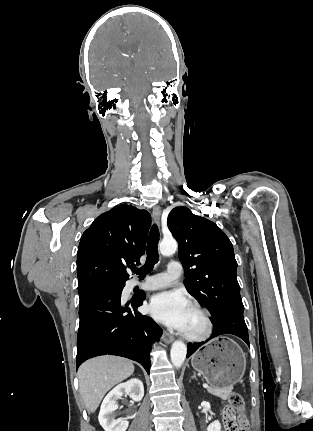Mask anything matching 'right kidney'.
Returning a JSON list of instances; mask_svg holds the SVG:
<instances>
[{"label":"right kidney","mask_w":313,"mask_h":431,"mask_svg":"<svg viewBox=\"0 0 313 431\" xmlns=\"http://www.w3.org/2000/svg\"><path fill=\"white\" fill-rule=\"evenodd\" d=\"M124 393L129 394L132 401H141L144 396L143 383L139 379L133 378L117 385L107 394L98 416L99 423L105 431H126L128 428V421L115 418V411L118 409L116 400L120 399Z\"/></svg>","instance_id":"1"}]
</instances>
